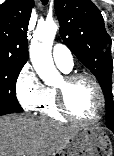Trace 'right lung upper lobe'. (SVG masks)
Wrapping results in <instances>:
<instances>
[{
  "label": "right lung upper lobe",
  "instance_id": "cb5924a9",
  "mask_svg": "<svg viewBox=\"0 0 114 156\" xmlns=\"http://www.w3.org/2000/svg\"><path fill=\"white\" fill-rule=\"evenodd\" d=\"M33 0H6L0 5V61L24 65Z\"/></svg>",
  "mask_w": 114,
  "mask_h": 156
}]
</instances>
